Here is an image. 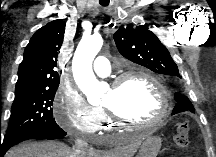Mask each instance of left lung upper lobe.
I'll return each mask as SVG.
<instances>
[{"mask_svg": "<svg viewBox=\"0 0 216 157\" xmlns=\"http://www.w3.org/2000/svg\"><path fill=\"white\" fill-rule=\"evenodd\" d=\"M114 41L120 54L128 60L155 73L181 77L169 51L148 27L120 28L114 34ZM174 99L176 104H186L189 111L194 112V107L186 96L175 93Z\"/></svg>", "mask_w": 216, "mask_h": 157, "instance_id": "obj_1", "label": "left lung upper lobe"}]
</instances>
